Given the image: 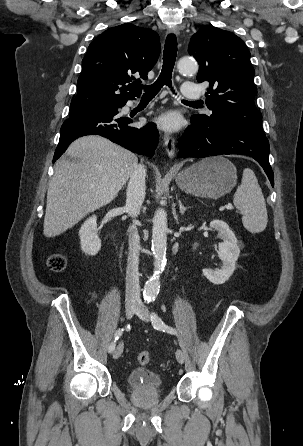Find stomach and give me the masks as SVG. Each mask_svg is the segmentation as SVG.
<instances>
[{"instance_id": "obj_1", "label": "stomach", "mask_w": 303, "mask_h": 446, "mask_svg": "<svg viewBox=\"0 0 303 446\" xmlns=\"http://www.w3.org/2000/svg\"><path fill=\"white\" fill-rule=\"evenodd\" d=\"M175 180L179 188L188 194L217 199L235 186L237 169L222 156L210 157L180 171Z\"/></svg>"}]
</instances>
